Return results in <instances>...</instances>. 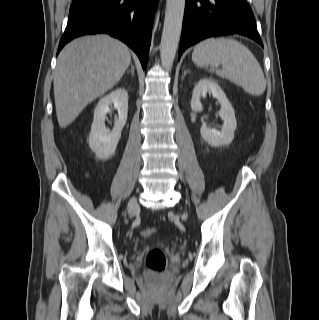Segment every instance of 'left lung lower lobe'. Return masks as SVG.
I'll return each instance as SVG.
<instances>
[{
  "label": "left lung lower lobe",
  "mask_w": 319,
  "mask_h": 320,
  "mask_svg": "<svg viewBox=\"0 0 319 320\" xmlns=\"http://www.w3.org/2000/svg\"><path fill=\"white\" fill-rule=\"evenodd\" d=\"M230 34L247 36L263 46L246 0H186L179 58L205 38Z\"/></svg>",
  "instance_id": "obj_1"
}]
</instances>
